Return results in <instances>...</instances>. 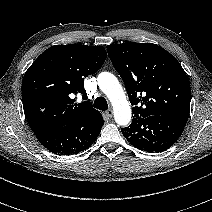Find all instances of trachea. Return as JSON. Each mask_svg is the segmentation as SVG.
I'll return each instance as SVG.
<instances>
[{
	"label": "trachea",
	"instance_id": "3493384b",
	"mask_svg": "<svg viewBox=\"0 0 212 212\" xmlns=\"http://www.w3.org/2000/svg\"><path fill=\"white\" fill-rule=\"evenodd\" d=\"M94 107L99 110L105 111L108 109V103L104 97H97L94 101Z\"/></svg>",
	"mask_w": 212,
	"mask_h": 212
}]
</instances>
